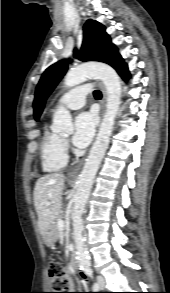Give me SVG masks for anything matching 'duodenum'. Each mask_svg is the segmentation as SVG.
<instances>
[{"instance_id": "duodenum-1", "label": "duodenum", "mask_w": 170, "mask_h": 293, "mask_svg": "<svg viewBox=\"0 0 170 293\" xmlns=\"http://www.w3.org/2000/svg\"><path fill=\"white\" fill-rule=\"evenodd\" d=\"M71 263H72V266H73L74 269H79V264H78V261H77V259L75 258V256H73V257L71 258Z\"/></svg>"}]
</instances>
